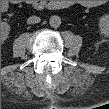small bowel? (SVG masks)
<instances>
[{
    "label": "small bowel",
    "mask_w": 109,
    "mask_h": 109,
    "mask_svg": "<svg viewBox=\"0 0 109 109\" xmlns=\"http://www.w3.org/2000/svg\"><path fill=\"white\" fill-rule=\"evenodd\" d=\"M96 5V2L95 1H89V2H86V6L87 7H93Z\"/></svg>",
    "instance_id": "1"
}]
</instances>
